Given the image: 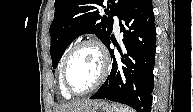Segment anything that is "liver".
<instances>
[{
  "instance_id": "6515ba94",
  "label": "liver",
  "mask_w": 193,
  "mask_h": 112,
  "mask_svg": "<svg viewBox=\"0 0 193 112\" xmlns=\"http://www.w3.org/2000/svg\"><path fill=\"white\" fill-rule=\"evenodd\" d=\"M91 100H79L61 105L57 111L59 112H81L93 104Z\"/></svg>"
}]
</instances>
